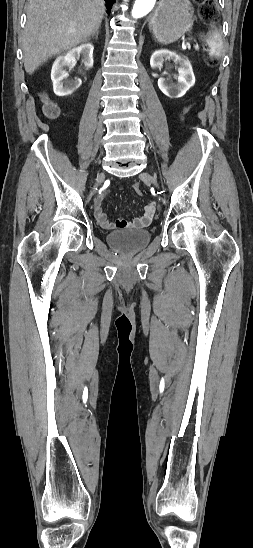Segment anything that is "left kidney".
Returning a JSON list of instances; mask_svg holds the SVG:
<instances>
[{"label": "left kidney", "mask_w": 253, "mask_h": 548, "mask_svg": "<svg viewBox=\"0 0 253 548\" xmlns=\"http://www.w3.org/2000/svg\"><path fill=\"white\" fill-rule=\"evenodd\" d=\"M172 60L179 65V76L177 83H169L165 78L158 79V87L163 94L170 98L182 97L195 83V76L190 61L185 56L168 50L155 51L150 59V65L153 69L162 67L163 62Z\"/></svg>", "instance_id": "left-kidney-1"}]
</instances>
